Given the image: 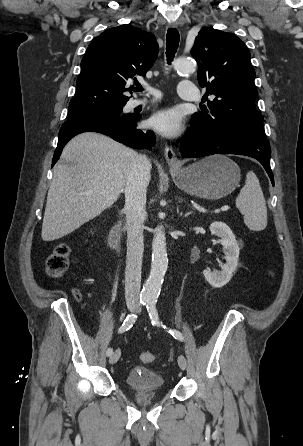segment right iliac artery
<instances>
[{"label": "right iliac artery", "instance_id": "right-iliac-artery-1", "mask_svg": "<svg viewBox=\"0 0 303 446\" xmlns=\"http://www.w3.org/2000/svg\"><path fill=\"white\" fill-rule=\"evenodd\" d=\"M146 303H147L146 299L140 300V305L141 306L146 305ZM136 319H137V314L136 313L129 314L126 317V319L124 320V322L121 325V327L119 328L118 333H123V332L129 330L133 326V324L135 323ZM112 353H113V349L112 348H108L107 351H106V355L107 356H111Z\"/></svg>", "mask_w": 303, "mask_h": 446}]
</instances>
